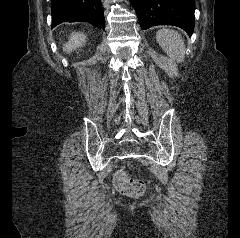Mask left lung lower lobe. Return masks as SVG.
Here are the masks:
<instances>
[{
    "label": "left lung lower lobe",
    "instance_id": "1",
    "mask_svg": "<svg viewBox=\"0 0 240 238\" xmlns=\"http://www.w3.org/2000/svg\"><path fill=\"white\" fill-rule=\"evenodd\" d=\"M142 29L154 25H175L187 32L194 30V0H130Z\"/></svg>",
    "mask_w": 240,
    "mask_h": 238
}]
</instances>
